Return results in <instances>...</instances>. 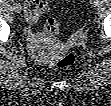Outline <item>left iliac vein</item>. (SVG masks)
Instances as JSON below:
<instances>
[{"label": "left iliac vein", "mask_w": 111, "mask_h": 106, "mask_svg": "<svg viewBox=\"0 0 111 106\" xmlns=\"http://www.w3.org/2000/svg\"><path fill=\"white\" fill-rule=\"evenodd\" d=\"M90 3H91L92 6H96L97 5V0H91Z\"/></svg>", "instance_id": "left-iliac-vein-1"}]
</instances>
